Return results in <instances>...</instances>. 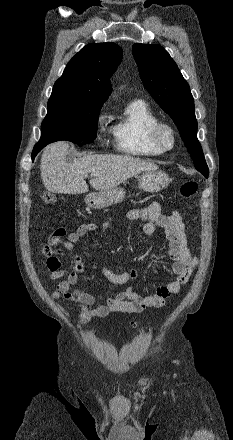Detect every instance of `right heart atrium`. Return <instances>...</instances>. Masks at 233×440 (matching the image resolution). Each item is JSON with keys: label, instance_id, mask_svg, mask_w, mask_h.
Instances as JSON below:
<instances>
[{"label": "right heart atrium", "instance_id": "right-heart-atrium-1", "mask_svg": "<svg viewBox=\"0 0 233 440\" xmlns=\"http://www.w3.org/2000/svg\"><path fill=\"white\" fill-rule=\"evenodd\" d=\"M104 119H105V116L100 115L99 118H98V122L101 123V122L104 121Z\"/></svg>", "mask_w": 233, "mask_h": 440}]
</instances>
